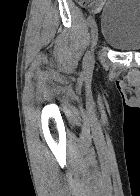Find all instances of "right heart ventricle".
<instances>
[{
    "label": "right heart ventricle",
    "instance_id": "right-heart-ventricle-1",
    "mask_svg": "<svg viewBox=\"0 0 140 196\" xmlns=\"http://www.w3.org/2000/svg\"><path fill=\"white\" fill-rule=\"evenodd\" d=\"M78 192H110V191H78Z\"/></svg>",
    "mask_w": 140,
    "mask_h": 196
}]
</instances>
